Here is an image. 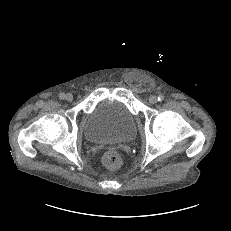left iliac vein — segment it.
Wrapping results in <instances>:
<instances>
[{"mask_svg": "<svg viewBox=\"0 0 231 231\" xmlns=\"http://www.w3.org/2000/svg\"><path fill=\"white\" fill-rule=\"evenodd\" d=\"M157 97L156 96H154V95H152V96H150V98H149V102L151 103V104H155V103H157Z\"/></svg>", "mask_w": 231, "mask_h": 231, "instance_id": "1", "label": "left iliac vein"}]
</instances>
